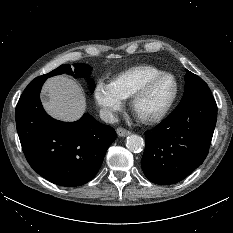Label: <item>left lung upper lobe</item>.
I'll return each instance as SVG.
<instances>
[{"label":"left lung upper lobe","mask_w":233,"mask_h":233,"mask_svg":"<svg viewBox=\"0 0 233 233\" xmlns=\"http://www.w3.org/2000/svg\"><path fill=\"white\" fill-rule=\"evenodd\" d=\"M211 91L207 84L197 75L186 70L185 75V92L179 105L197 97L210 95Z\"/></svg>","instance_id":"obj_1"}]
</instances>
